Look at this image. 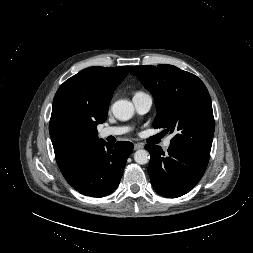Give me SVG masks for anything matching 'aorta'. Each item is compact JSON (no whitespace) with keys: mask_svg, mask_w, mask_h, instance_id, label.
I'll use <instances>...</instances> for the list:
<instances>
[{"mask_svg":"<svg viewBox=\"0 0 253 253\" xmlns=\"http://www.w3.org/2000/svg\"><path fill=\"white\" fill-rule=\"evenodd\" d=\"M112 112L119 120H129L134 114V106L128 100H118L112 105ZM149 159L150 155L145 149L137 150L134 154V160L138 164H147Z\"/></svg>","mask_w":253,"mask_h":253,"instance_id":"762f6f07","label":"aorta"}]
</instances>
